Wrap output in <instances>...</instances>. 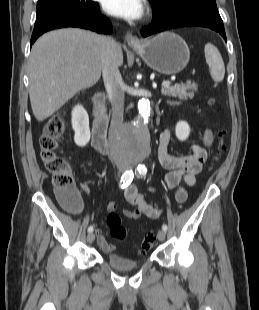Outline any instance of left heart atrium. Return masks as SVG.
<instances>
[{
	"mask_svg": "<svg viewBox=\"0 0 259 310\" xmlns=\"http://www.w3.org/2000/svg\"><path fill=\"white\" fill-rule=\"evenodd\" d=\"M103 9L110 15L137 20L144 13L143 0H103Z\"/></svg>",
	"mask_w": 259,
	"mask_h": 310,
	"instance_id": "obj_1",
	"label": "left heart atrium"
}]
</instances>
